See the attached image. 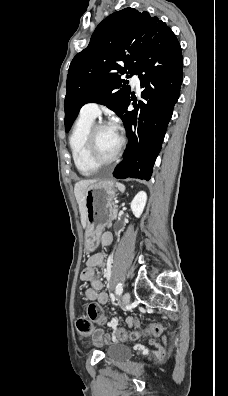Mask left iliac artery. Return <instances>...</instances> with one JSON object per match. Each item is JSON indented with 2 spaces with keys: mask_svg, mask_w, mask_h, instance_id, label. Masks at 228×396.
I'll list each match as a JSON object with an SVG mask.
<instances>
[{
  "mask_svg": "<svg viewBox=\"0 0 228 396\" xmlns=\"http://www.w3.org/2000/svg\"><path fill=\"white\" fill-rule=\"evenodd\" d=\"M122 291H123V284L118 283V285L116 286V289H115L116 295H120L122 293Z\"/></svg>",
  "mask_w": 228,
  "mask_h": 396,
  "instance_id": "left-iliac-artery-1",
  "label": "left iliac artery"
}]
</instances>
